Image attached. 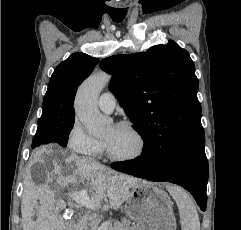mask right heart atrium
<instances>
[{
	"label": "right heart atrium",
	"mask_w": 241,
	"mask_h": 230,
	"mask_svg": "<svg viewBox=\"0 0 241 230\" xmlns=\"http://www.w3.org/2000/svg\"><path fill=\"white\" fill-rule=\"evenodd\" d=\"M67 146L75 153L90 157L98 155L104 148V144L89 135L78 120L68 134Z\"/></svg>",
	"instance_id": "obj_1"
}]
</instances>
